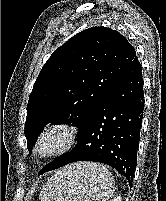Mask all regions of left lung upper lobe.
<instances>
[{"label": "left lung upper lobe", "instance_id": "left-lung-upper-lobe-1", "mask_svg": "<svg viewBox=\"0 0 166 201\" xmlns=\"http://www.w3.org/2000/svg\"><path fill=\"white\" fill-rule=\"evenodd\" d=\"M135 57L127 39L105 27L79 32L56 49L29 96L24 131L28 149L51 123H72L79 130Z\"/></svg>", "mask_w": 166, "mask_h": 201}]
</instances>
